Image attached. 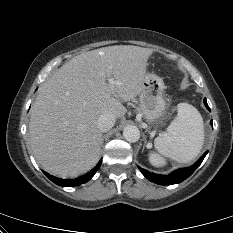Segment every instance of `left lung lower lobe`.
Instances as JSON below:
<instances>
[{
  "mask_svg": "<svg viewBox=\"0 0 233 233\" xmlns=\"http://www.w3.org/2000/svg\"><path fill=\"white\" fill-rule=\"evenodd\" d=\"M204 104H205L206 108L210 111V108L207 104L206 99H204ZM210 123L212 125V120ZM207 153H208V151H206L193 166L175 170L171 174H168V175L154 174V173H150L144 169H141V168H139V169L147 179H149L150 181H152L156 184H160V185L177 184V183L182 182L186 178H188L197 169V167L202 163V161L205 158Z\"/></svg>",
  "mask_w": 233,
  "mask_h": 233,
  "instance_id": "1",
  "label": "left lung lower lobe"
}]
</instances>
